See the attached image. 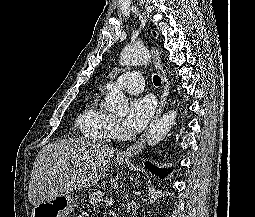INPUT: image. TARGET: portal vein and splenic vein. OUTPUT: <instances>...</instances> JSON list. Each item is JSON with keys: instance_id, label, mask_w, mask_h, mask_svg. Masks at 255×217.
Returning <instances> with one entry per match:
<instances>
[{"instance_id": "obj_1", "label": "portal vein and splenic vein", "mask_w": 255, "mask_h": 217, "mask_svg": "<svg viewBox=\"0 0 255 217\" xmlns=\"http://www.w3.org/2000/svg\"><path fill=\"white\" fill-rule=\"evenodd\" d=\"M105 203H106V205L111 206V205L114 204V200H113V199H108V198H106V199H105Z\"/></svg>"}]
</instances>
